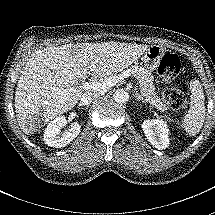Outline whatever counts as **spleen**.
Instances as JSON below:
<instances>
[{
    "label": "spleen",
    "instance_id": "obj_1",
    "mask_svg": "<svg viewBox=\"0 0 215 215\" xmlns=\"http://www.w3.org/2000/svg\"><path fill=\"white\" fill-rule=\"evenodd\" d=\"M190 109L185 115L182 127L190 135L194 136L201 130L205 118V105L203 89L198 81L191 82Z\"/></svg>",
    "mask_w": 215,
    "mask_h": 215
}]
</instances>
